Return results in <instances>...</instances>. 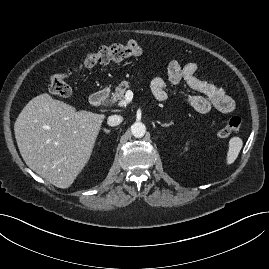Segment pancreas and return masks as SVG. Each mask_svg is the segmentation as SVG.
I'll use <instances>...</instances> for the list:
<instances>
[{"label": "pancreas", "instance_id": "obj_1", "mask_svg": "<svg viewBox=\"0 0 269 269\" xmlns=\"http://www.w3.org/2000/svg\"><path fill=\"white\" fill-rule=\"evenodd\" d=\"M128 87H129V83L126 81L119 84V86L115 88V92L112 93V96H111V99L109 100V103L114 104L118 101H122L124 96H125L126 89Z\"/></svg>", "mask_w": 269, "mask_h": 269}]
</instances>
